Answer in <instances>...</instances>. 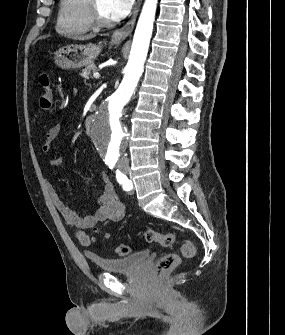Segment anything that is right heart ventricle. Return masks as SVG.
<instances>
[{"label":"right heart ventricle","mask_w":285,"mask_h":335,"mask_svg":"<svg viewBox=\"0 0 285 335\" xmlns=\"http://www.w3.org/2000/svg\"><path fill=\"white\" fill-rule=\"evenodd\" d=\"M91 9V1H61L57 32L66 38H81L92 29Z\"/></svg>","instance_id":"1"}]
</instances>
